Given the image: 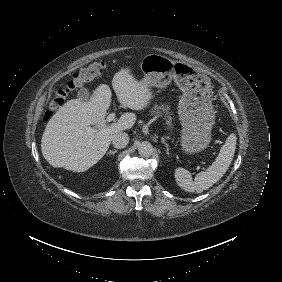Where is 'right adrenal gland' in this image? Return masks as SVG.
<instances>
[{
    "instance_id": "2a0ac1e0",
    "label": "right adrenal gland",
    "mask_w": 282,
    "mask_h": 282,
    "mask_svg": "<svg viewBox=\"0 0 282 282\" xmlns=\"http://www.w3.org/2000/svg\"><path fill=\"white\" fill-rule=\"evenodd\" d=\"M117 153V150H114V151H112V150H110L108 153H107V155H115Z\"/></svg>"
}]
</instances>
